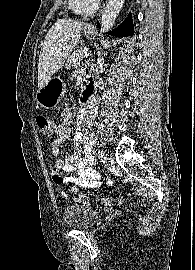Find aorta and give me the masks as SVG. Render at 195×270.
Here are the masks:
<instances>
[{"instance_id":"1","label":"aorta","mask_w":195,"mask_h":270,"mask_svg":"<svg viewBox=\"0 0 195 270\" xmlns=\"http://www.w3.org/2000/svg\"><path fill=\"white\" fill-rule=\"evenodd\" d=\"M123 4L124 0H108L101 18V30L103 32L109 31L113 27Z\"/></svg>"}]
</instances>
